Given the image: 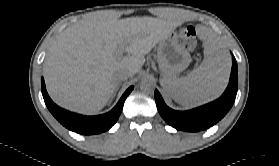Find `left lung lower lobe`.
<instances>
[{
	"label": "left lung lower lobe",
	"mask_w": 279,
	"mask_h": 166,
	"mask_svg": "<svg viewBox=\"0 0 279 166\" xmlns=\"http://www.w3.org/2000/svg\"><path fill=\"white\" fill-rule=\"evenodd\" d=\"M238 88L237 62L232 56L230 81L224 94L217 100L189 111H175L166 106L155 90V100L162 118L172 127L183 131H201L216 124L232 107Z\"/></svg>",
	"instance_id": "obj_1"
}]
</instances>
